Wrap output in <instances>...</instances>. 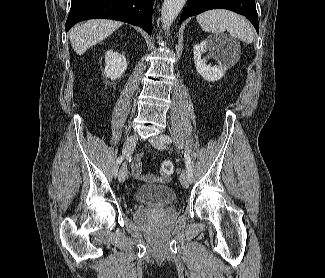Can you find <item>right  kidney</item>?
I'll use <instances>...</instances> for the list:
<instances>
[{
	"mask_svg": "<svg viewBox=\"0 0 325 278\" xmlns=\"http://www.w3.org/2000/svg\"><path fill=\"white\" fill-rule=\"evenodd\" d=\"M106 66L104 74L107 78L115 80L120 78L127 69L126 58L117 52L107 51L105 55Z\"/></svg>",
	"mask_w": 325,
	"mask_h": 278,
	"instance_id": "ca27d5eb",
	"label": "right kidney"
}]
</instances>
